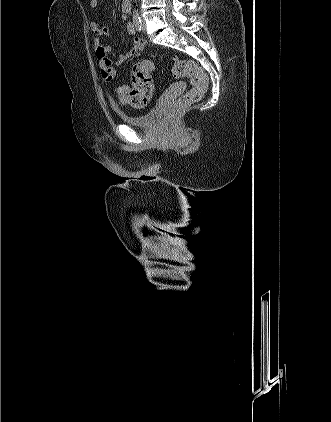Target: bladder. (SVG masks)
Listing matches in <instances>:
<instances>
[{
    "label": "bladder",
    "instance_id": "bladder-1",
    "mask_svg": "<svg viewBox=\"0 0 331 422\" xmlns=\"http://www.w3.org/2000/svg\"><path fill=\"white\" fill-rule=\"evenodd\" d=\"M119 118L126 124L140 127L151 128L155 125L158 117V109L156 107L150 109L143 114H127L125 112H118Z\"/></svg>",
    "mask_w": 331,
    "mask_h": 422
}]
</instances>
